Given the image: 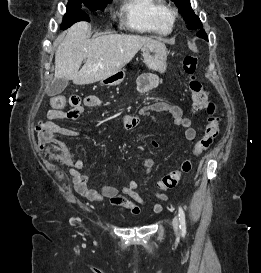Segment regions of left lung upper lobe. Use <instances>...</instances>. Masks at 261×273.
Wrapping results in <instances>:
<instances>
[{
	"label": "left lung upper lobe",
	"instance_id": "obj_1",
	"mask_svg": "<svg viewBox=\"0 0 261 273\" xmlns=\"http://www.w3.org/2000/svg\"><path fill=\"white\" fill-rule=\"evenodd\" d=\"M178 6L179 11L187 24L188 29L198 30L203 27L200 19L196 16L191 9V4L189 0H172Z\"/></svg>",
	"mask_w": 261,
	"mask_h": 273
}]
</instances>
